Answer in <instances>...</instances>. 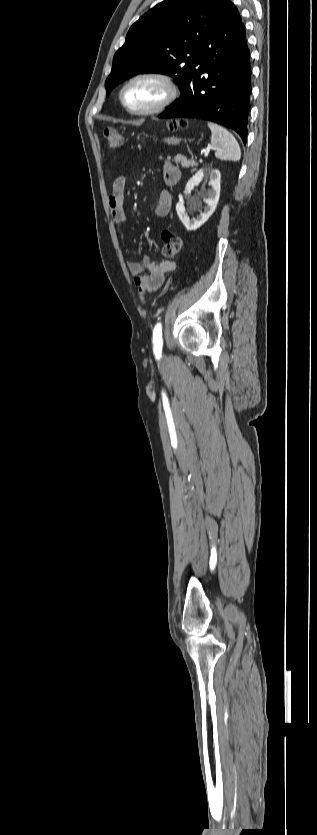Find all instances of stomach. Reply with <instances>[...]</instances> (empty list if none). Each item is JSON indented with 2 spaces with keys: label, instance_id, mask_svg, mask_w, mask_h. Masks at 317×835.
I'll list each match as a JSON object with an SVG mask.
<instances>
[{
  "label": "stomach",
  "instance_id": "0dacf381",
  "mask_svg": "<svg viewBox=\"0 0 317 835\" xmlns=\"http://www.w3.org/2000/svg\"><path fill=\"white\" fill-rule=\"evenodd\" d=\"M180 141H181V139H179L177 137H168V138L164 139V142H166L168 144H172V145H177V144L180 143Z\"/></svg>",
  "mask_w": 317,
  "mask_h": 835
}]
</instances>
